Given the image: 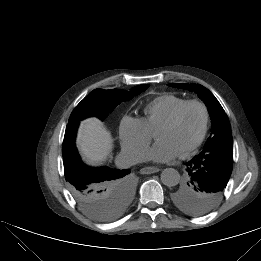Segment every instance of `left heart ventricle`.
<instances>
[{"label": "left heart ventricle", "instance_id": "1", "mask_svg": "<svg viewBox=\"0 0 261 261\" xmlns=\"http://www.w3.org/2000/svg\"><path fill=\"white\" fill-rule=\"evenodd\" d=\"M202 124V109L198 105H190L184 110L175 125L158 129L156 138L158 141L171 142L180 154L196 140Z\"/></svg>", "mask_w": 261, "mask_h": 261}]
</instances>
